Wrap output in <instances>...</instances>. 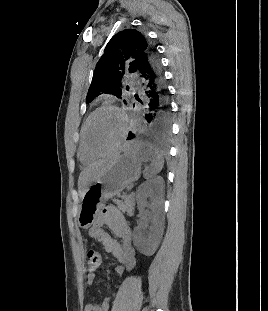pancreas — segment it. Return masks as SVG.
<instances>
[{"mask_svg": "<svg viewBox=\"0 0 268 311\" xmlns=\"http://www.w3.org/2000/svg\"><path fill=\"white\" fill-rule=\"evenodd\" d=\"M115 204H117L118 208L128 216L133 215V210L135 206V199L131 195L124 196L123 200L114 199Z\"/></svg>", "mask_w": 268, "mask_h": 311, "instance_id": "cf45deb5", "label": "pancreas"}]
</instances>
